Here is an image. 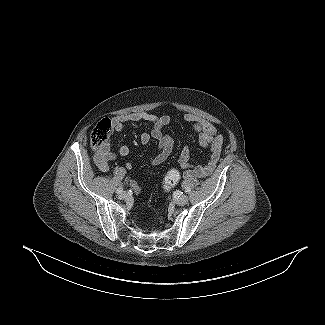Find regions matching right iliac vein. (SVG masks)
Returning <instances> with one entry per match:
<instances>
[{"label":"right iliac vein","mask_w":325,"mask_h":325,"mask_svg":"<svg viewBox=\"0 0 325 325\" xmlns=\"http://www.w3.org/2000/svg\"><path fill=\"white\" fill-rule=\"evenodd\" d=\"M120 198L121 199H128L129 198V193L128 192H126V191H124V192H122L121 194H120Z\"/></svg>","instance_id":"63e3f726"}]
</instances>
